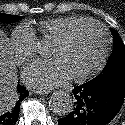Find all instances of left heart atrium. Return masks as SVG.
I'll use <instances>...</instances> for the list:
<instances>
[{
    "instance_id": "left-heart-atrium-1",
    "label": "left heart atrium",
    "mask_w": 125,
    "mask_h": 125,
    "mask_svg": "<svg viewBox=\"0 0 125 125\" xmlns=\"http://www.w3.org/2000/svg\"><path fill=\"white\" fill-rule=\"evenodd\" d=\"M71 77V74L59 58L36 60L28 65L22 73L24 82L40 91L61 86Z\"/></svg>"
}]
</instances>
